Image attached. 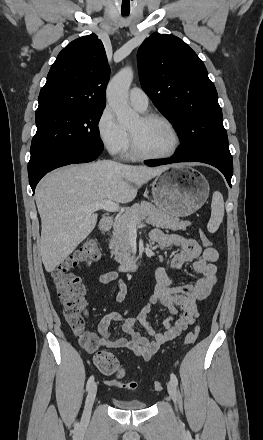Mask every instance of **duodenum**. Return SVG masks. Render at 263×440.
I'll return each instance as SVG.
<instances>
[{
    "mask_svg": "<svg viewBox=\"0 0 263 440\" xmlns=\"http://www.w3.org/2000/svg\"><path fill=\"white\" fill-rule=\"evenodd\" d=\"M112 225V219L105 217L102 218L99 222V229L101 232H108L110 227ZM142 265V259L140 257H136L132 259L129 263H127L123 270L127 272H133L136 271L138 268H140Z\"/></svg>",
    "mask_w": 263,
    "mask_h": 440,
    "instance_id": "duodenum-1",
    "label": "duodenum"
}]
</instances>
